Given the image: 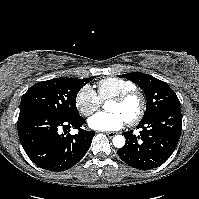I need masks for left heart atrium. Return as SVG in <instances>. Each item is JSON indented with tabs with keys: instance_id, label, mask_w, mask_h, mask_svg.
<instances>
[{
	"instance_id": "39dd6f15",
	"label": "left heart atrium",
	"mask_w": 199,
	"mask_h": 199,
	"mask_svg": "<svg viewBox=\"0 0 199 199\" xmlns=\"http://www.w3.org/2000/svg\"><path fill=\"white\" fill-rule=\"evenodd\" d=\"M126 122L127 120L120 113H98L89 119L88 124L94 130L116 131Z\"/></svg>"
}]
</instances>
